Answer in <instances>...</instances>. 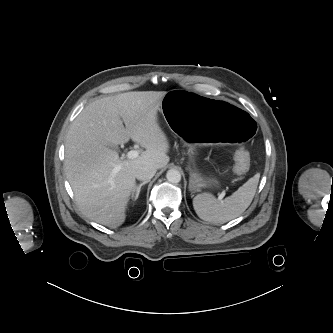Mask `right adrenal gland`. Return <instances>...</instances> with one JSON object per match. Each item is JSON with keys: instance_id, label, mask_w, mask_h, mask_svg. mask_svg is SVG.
Masks as SVG:
<instances>
[{"instance_id": "right-adrenal-gland-1", "label": "right adrenal gland", "mask_w": 333, "mask_h": 333, "mask_svg": "<svg viewBox=\"0 0 333 333\" xmlns=\"http://www.w3.org/2000/svg\"><path fill=\"white\" fill-rule=\"evenodd\" d=\"M149 181H144L142 183H140L138 186H136L133 191H132V194H131V198L135 201L138 199V196L140 194V191H141V188L142 186H144L145 184H147Z\"/></svg>"}]
</instances>
